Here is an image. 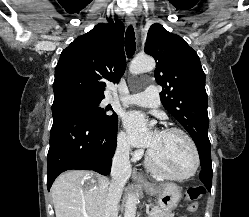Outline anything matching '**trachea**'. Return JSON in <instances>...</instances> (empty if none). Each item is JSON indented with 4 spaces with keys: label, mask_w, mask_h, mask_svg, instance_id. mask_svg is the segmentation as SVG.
<instances>
[{
    "label": "trachea",
    "mask_w": 249,
    "mask_h": 217,
    "mask_svg": "<svg viewBox=\"0 0 249 217\" xmlns=\"http://www.w3.org/2000/svg\"><path fill=\"white\" fill-rule=\"evenodd\" d=\"M125 49L128 58H130L136 50L135 33L131 25L127 28L125 33Z\"/></svg>",
    "instance_id": "trachea-1"
}]
</instances>
